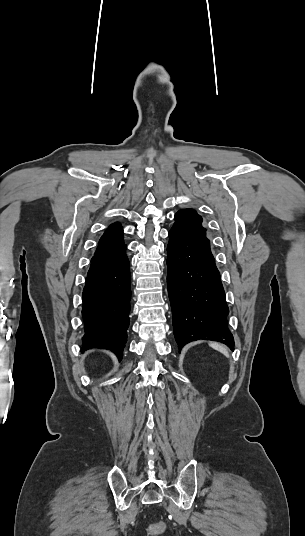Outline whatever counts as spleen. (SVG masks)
<instances>
[{"label":"spleen","mask_w":305,"mask_h":536,"mask_svg":"<svg viewBox=\"0 0 305 536\" xmlns=\"http://www.w3.org/2000/svg\"><path fill=\"white\" fill-rule=\"evenodd\" d=\"M209 346H211V348H214V350H218V352H221V354H224V356H229L226 348H224V346H221V344H215V342H210Z\"/></svg>","instance_id":"spleen-1"}]
</instances>
